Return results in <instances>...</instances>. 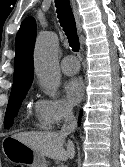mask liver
<instances>
[{
  "label": "liver",
  "mask_w": 125,
  "mask_h": 167,
  "mask_svg": "<svg viewBox=\"0 0 125 167\" xmlns=\"http://www.w3.org/2000/svg\"><path fill=\"white\" fill-rule=\"evenodd\" d=\"M13 138L23 142L43 156L58 161L73 158L75 153L71 141H68L67 148H64L66 136L58 132H19L14 134Z\"/></svg>",
  "instance_id": "6515ba94"
}]
</instances>
